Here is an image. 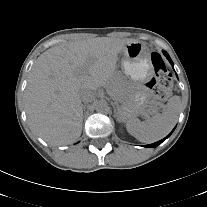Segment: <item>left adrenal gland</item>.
<instances>
[{"instance_id":"obj_1","label":"left adrenal gland","mask_w":207,"mask_h":207,"mask_svg":"<svg viewBox=\"0 0 207 207\" xmlns=\"http://www.w3.org/2000/svg\"><path fill=\"white\" fill-rule=\"evenodd\" d=\"M114 106V105H113ZM116 112V107L114 106V113Z\"/></svg>"}]
</instances>
